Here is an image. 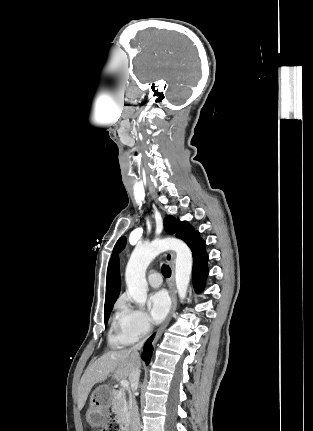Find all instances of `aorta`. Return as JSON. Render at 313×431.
Segmentation results:
<instances>
[{
    "instance_id": "762f6f07",
    "label": "aorta",
    "mask_w": 313,
    "mask_h": 431,
    "mask_svg": "<svg viewBox=\"0 0 313 431\" xmlns=\"http://www.w3.org/2000/svg\"><path fill=\"white\" fill-rule=\"evenodd\" d=\"M167 250L176 252L175 281L178 295L183 300L187 295L192 271V253L189 247L176 238L154 240L137 246L131 254L126 267L125 280L133 300L144 306L147 300L148 285L145 272L152 260Z\"/></svg>"
}]
</instances>
